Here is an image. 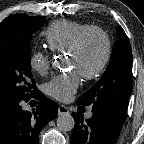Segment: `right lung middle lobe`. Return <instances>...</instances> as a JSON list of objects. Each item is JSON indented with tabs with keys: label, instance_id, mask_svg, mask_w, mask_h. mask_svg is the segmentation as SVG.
I'll list each match as a JSON object with an SVG mask.
<instances>
[{
	"label": "right lung middle lobe",
	"instance_id": "obj_1",
	"mask_svg": "<svg viewBox=\"0 0 144 144\" xmlns=\"http://www.w3.org/2000/svg\"><path fill=\"white\" fill-rule=\"evenodd\" d=\"M44 22L45 16L12 15L0 23V101L7 107L38 92L30 67V40Z\"/></svg>",
	"mask_w": 144,
	"mask_h": 144
}]
</instances>
